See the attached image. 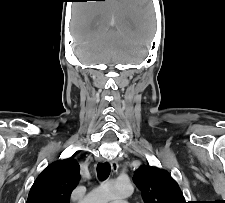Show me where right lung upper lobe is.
<instances>
[{
    "label": "right lung upper lobe",
    "instance_id": "obj_1",
    "mask_svg": "<svg viewBox=\"0 0 225 203\" xmlns=\"http://www.w3.org/2000/svg\"><path fill=\"white\" fill-rule=\"evenodd\" d=\"M79 169L72 157L50 164L31 187L27 203H69L80 179Z\"/></svg>",
    "mask_w": 225,
    "mask_h": 203
}]
</instances>
